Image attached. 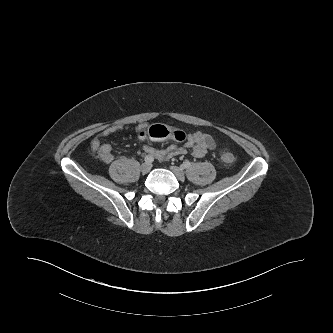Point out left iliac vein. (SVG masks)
<instances>
[{"label":"left iliac vein","mask_w":333,"mask_h":333,"mask_svg":"<svg viewBox=\"0 0 333 333\" xmlns=\"http://www.w3.org/2000/svg\"><path fill=\"white\" fill-rule=\"evenodd\" d=\"M170 169L173 172V174L176 176L177 179H179V180L185 179V173L180 167L171 166Z\"/></svg>","instance_id":"4c4485c4"}]
</instances>
